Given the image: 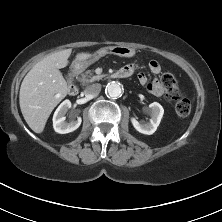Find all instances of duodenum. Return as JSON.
I'll return each mask as SVG.
<instances>
[{
  "instance_id": "duodenum-1",
  "label": "duodenum",
  "mask_w": 222,
  "mask_h": 222,
  "mask_svg": "<svg viewBox=\"0 0 222 222\" xmlns=\"http://www.w3.org/2000/svg\"><path fill=\"white\" fill-rule=\"evenodd\" d=\"M81 72V67L79 65L74 66L71 69V74L73 77H76L79 73ZM131 75V71L128 69H119L117 71H115L112 74L113 78L119 79V78H126L129 77ZM79 92L78 86L76 84H71L69 86V94L72 96L77 95Z\"/></svg>"
}]
</instances>
